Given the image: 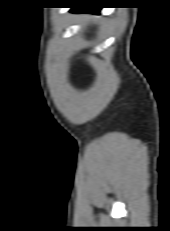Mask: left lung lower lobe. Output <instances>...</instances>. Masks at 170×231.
I'll list each match as a JSON object with an SVG mask.
<instances>
[{
	"instance_id": "1",
	"label": "left lung lower lobe",
	"mask_w": 170,
	"mask_h": 231,
	"mask_svg": "<svg viewBox=\"0 0 170 231\" xmlns=\"http://www.w3.org/2000/svg\"><path fill=\"white\" fill-rule=\"evenodd\" d=\"M71 11L75 13L87 12V13L98 14L100 11V8L99 7H77V8H72Z\"/></svg>"
}]
</instances>
